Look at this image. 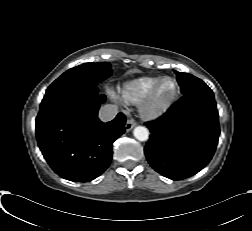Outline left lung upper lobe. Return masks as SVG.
<instances>
[{
    "label": "left lung upper lobe",
    "mask_w": 252,
    "mask_h": 231,
    "mask_svg": "<svg viewBox=\"0 0 252 231\" xmlns=\"http://www.w3.org/2000/svg\"><path fill=\"white\" fill-rule=\"evenodd\" d=\"M174 72L177 75V81L183 94L195 91L211 90L201 79L189 73H181L178 71Z\"/></svg>",
    "instance_id": "left-lung-upper-lobe-1"
}]
</instances>
